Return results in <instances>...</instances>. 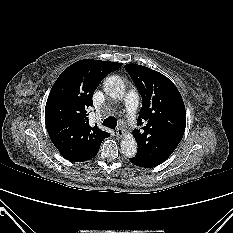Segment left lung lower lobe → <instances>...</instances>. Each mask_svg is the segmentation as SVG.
<instances>
[{
	"mask_svg": "<svg viewBox=\"0 0 233 233\" xmlns=\"http://www.w3.org/2000/svg\"><path fill=\"white\" fill-rule=\"evenodd\" d=\"M130 161L131 163L137 165V166H140V167H144V168H152L154 166H151L150 164L136 158V157H133V158H130Z\"/></svg>",
	"mask_w": 233,
	"mask_h": 233,
	"instance_id": "obj_1",
	"label": "left lung lower lobe"
}]
</instances>
